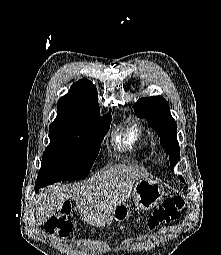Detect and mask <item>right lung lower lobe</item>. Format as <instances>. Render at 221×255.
Wrapping results in <instances>:
<instances>
[{"mask_svg":"<svg viewBox=\"0 0 221 255\" xmlns=\"http://www.w3.org/2000/svg\"><path fill=\"white\" fill-rule=\"evenodd\" d=\"M44 186H46V185L36 183L35 191L37 192L40 188H42Z\"/></svg>","mask_w":221,"mask_h":255,"instance_id":"obj_1","label":"right lung lower lobe"}]
</instances>
